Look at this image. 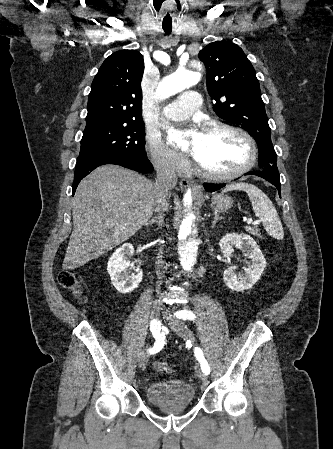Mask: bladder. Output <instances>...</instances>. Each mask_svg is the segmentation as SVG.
I'll list each match as a JSON object with an SVG mask.
<instances>
[{"label": "bladder", "mask_w": 333, "mask_h": 449, "mask_svg": "<svg viewBox=\"0 0 333 449\" xmlns=\"http://www.w3.org/2000/svg\"><path fill=\"white\" fill-rule=\"evenodd\" d=\"M146 398L159 408L190 406L194 403L195 391L182 380L156 381L147 387Z\"/></svg>", "instance_id": "bladder-1"}]
</instances>
